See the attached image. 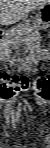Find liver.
<instances>
[{
    "label": "liver",
    "instance_id": "obj_1",
    "mask_svg": "<svg viewBox=\"0 0 50 148\" xmlns=\"http://www.w3.org/2000/svg\"><path fill=\"white\" fill-rule=\"evenodd\" d=\"M49 0H1V24L18 22L27 13L48 4Z\"/></svg>",
    "mask_w": 50,
    "mask_h": 148
}]
</instances>
